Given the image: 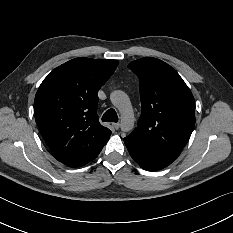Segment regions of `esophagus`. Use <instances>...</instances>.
Returning a JSON list of instances; mask_svg holds the SVG:
<instances>
[{
	"instance_id": "34e87169",
	"label": "esophagus",
	"mask_w": 233,
	"mask_h": 233,
	"mask_svg": "<svg viewBox=\"0 0 233 233\" xmlns=\"http://www.w3.org/2000/svg\"><path fill=\"white\" fill-rule=\"evenodd\" d=\"M112 125L115 128V130H118L120 128V124L119 123H113Z\"/></svg>"
}]
</instances>
